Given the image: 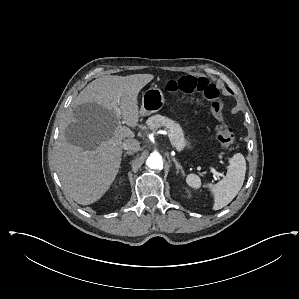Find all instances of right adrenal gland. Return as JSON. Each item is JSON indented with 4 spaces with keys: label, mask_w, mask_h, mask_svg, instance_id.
Masks as SVG:
<instances>
[{
    "label": "right adrenal gland",
    "mask_w": 299,
    "mask_h": 299,
    "mask_svg": "<svg viewBox=\"0 0 299 299\" xmlns=\"http://www.w3.org/2000/svg\"><path fill=\"white\" fill-rule=\"evenodd\" d=\"M133 153L132 152H126L124 153L123 157L125 158L127 155H132Z\"/></svg>",
    "instance_id": "obj_1"
}]
</instances>
